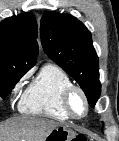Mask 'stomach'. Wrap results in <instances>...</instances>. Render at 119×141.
Masks as SVG:
<instances>
[{"label": "stomach", "mask_w": 119, "mask_h": 141, "mask_svg": "<svg viewBox=\"0 0 119 141\" xmlns=\"http://www.w3.org/2000/svg\"><path fill=\"white\" fill-rule=\"evenodd\" d=\"M75 139V133L70 128L61 125L53 129L44 139V141H72Z\"/></svg>", "instance_id": "1"}]
</instances>
